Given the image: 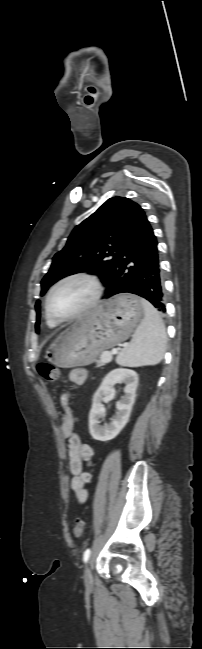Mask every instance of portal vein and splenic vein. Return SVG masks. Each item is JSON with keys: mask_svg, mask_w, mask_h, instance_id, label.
<instances>
[{"mask_svg": "<svg viewBox=\"0 0 202 649\" xmlns=\"http://www.w3.org/2000/svg\"><path fill=\"white\" fill-rule=\"evenodd\" d=\"M118 350L116 348L112 349V352H103L101 354V360L105 363H108L112 360V354H117Z\"/></svg>", "mask_w": 202, "mask_h": 649, "instance_id": "portal-vein-and-splenic-vein-1", "label": "portal vein and splenic vein"}]
</instances>
